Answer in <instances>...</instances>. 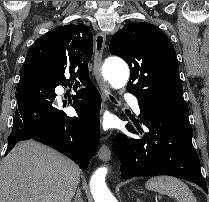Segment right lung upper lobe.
Returning <instances> with one entry per match:
<instances>
[{
  "instance_id": "1",
  "label": "right lung upper lobe",
  "mask_w": 209,
  "mask_h": 202,
  "mask_svg": "<svg viewBox=\"0 0 209 202\" xmlns=\"http://www.w3.org/2000/svg\"><path fill=\"white\" fill-rule=\"evenodd\" d=\"M93 52V35L84 24H70L47 32L29 48L20 78L50 77L62 85L69 81L92 84L88 62ZM70 75V79H66Z\"/></svg>"
}]
</instances>
